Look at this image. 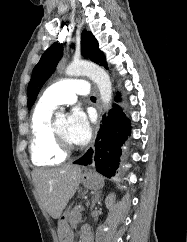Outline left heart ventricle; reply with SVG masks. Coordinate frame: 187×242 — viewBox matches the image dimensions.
Returning a JSON list of instances; mask_svg holds the SVG:
<instances>
[{
    "label": "left heart ventricle",
    "mask_w": 187,
    "mask_h": 242,
    "mask_svg": "<svg viewBox=\"0 0 187 242\" xmlns=\"http://www.w3.org/2000/svg\"><path fill=\"white\" fill-rule=\"evenodd\" d=\"M66 127H67V119L62 117V118H58L55 121V128L58 132V134L61 136V138L64 140V142L68 145H71V143L69 142V140L66 137Z\"/></svg>",
    "instance_id": "b2bd125f"
}]
</instances>
